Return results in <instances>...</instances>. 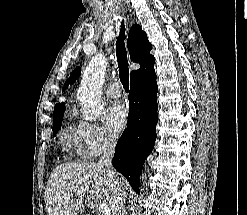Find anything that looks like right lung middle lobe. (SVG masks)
<instances>
[{
  "mask_svg": "<svg viewBox=\"0 0 247 215\" xmlns=\"http://www.w3.org/2000/svg\"><path fill=\"white\" fill-rule=\"evenodd\" d=\"M63 112L53 115V132L54 135L58 132L62 123Z\"/></svg>",
  "mask_w": 247,
  "mask_h": 215,
  "instance_id": "1",
  "label": "right lung middle lobe"
}]
</instances>
